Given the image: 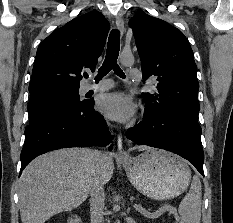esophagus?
I'll use <instances>...</instances> for the list:
<instances>
[{
	"instance_id": "1",
	"label": "esophagus",
	"mask_w": 233,
	"mask_h": 223,
	"mask_svg": "<svg viewBox=\"0 0 233 223\" xmlns=\"http://www.w3.org/2000/svg\"><path fill=\"white\" fill-rule=\"evenodd\" d=\"M117 29L120 31L121 35L124 33V19L122 15H118L115 17ZM117 149H118V157L119 158H128L127 152L123 148L122 136L118 134L117 137Z\"/></svg>"
}]
</instances>
